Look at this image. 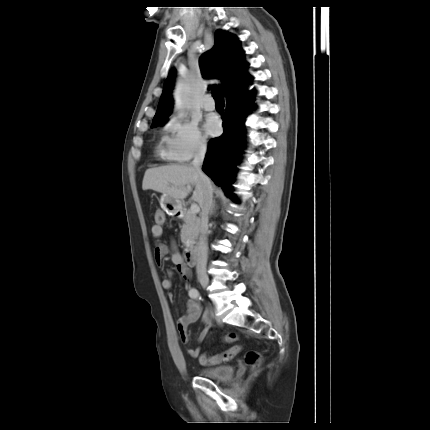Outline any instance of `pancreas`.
Here are the masks:
<instances>
[{
	"label": "pancreas",
	"mask_w": 430,
	"mask_h": 430,
	"mask_svg": "<svg viewBox=\"0 0 430 430\" xmlns=\"http://www.w3.org/2000/svg\"><path fill=\"white\" fill-rule=\"evenodd\" d=\"M182 220L184 224L181 228V241L184 245L193 242L199 231L200 219L196 217L190 210H186L183 213Z\"/></svg>",
	"instance_id": "1"
}]
</instances>
